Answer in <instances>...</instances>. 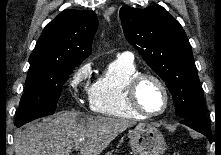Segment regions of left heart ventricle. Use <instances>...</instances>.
<instances>
[{
    "mask_svg": "<svg viewBox=\"0 0 221 155\" xmlns=\"http://www.w3.org/2000/svg\"><path fill=\"white\" fill-rule=\"evenodd\" d=\"M141 106L149 112H158L164 106V95L160 87L152 80H144L138 90Z\"/></svg>",
    "mask_w": 221,
    "mask_h": 155,
    "instance_id": "obj_1",
    "label": "left heart ventricle"
}]
</instances>
